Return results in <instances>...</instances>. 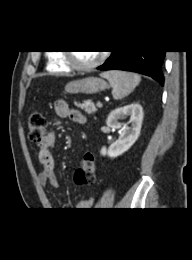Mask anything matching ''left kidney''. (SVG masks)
I'll return each mask as SVG.
<instances>
[{
	"label": "left kidney",
	"mask_w": 192,
	"mask_h": 260,
	"mask_svg": "<svg viewBox=\"0 0 192 260\" xmlns=\"http://www.w3.org/2000/svg\"><path fill=\"white\" fill-rule=\"evenodd\" d=\"M127 116L130 117V120L122 126L119 120ZM142 121L143 108L138 103H132L113 110L109 114L106 124L112 129H119V138L108 149L102 147L101 155L115 158L129 150L140 135ZM128 124L131 126L129 127Z\"/></svg>",
	"instance_id": "obj_1"
}]
</instances>
